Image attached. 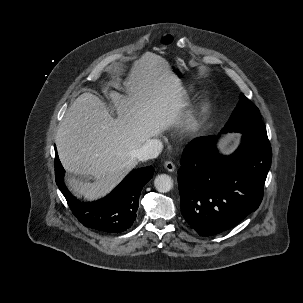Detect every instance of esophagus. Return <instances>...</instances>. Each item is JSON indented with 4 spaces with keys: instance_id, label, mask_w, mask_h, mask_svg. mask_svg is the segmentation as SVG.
Instances as JSON below:
<instances>
[{
    "instance_id": "1",
    "label": "esophagus",
    "mask_w": 303,
    "mask_h": 303,
    "mask_svg": "<svg viewBox=\"0 0 303 303\" xmlns=\"http://www.w3.org/2000/svg\"><path fill=\"white\" fill-rule=\"evenodd\" d=\"M164 167L169 172H173L176 169V166L172 161H166Z\"/></svg>"
}]
</instances>
